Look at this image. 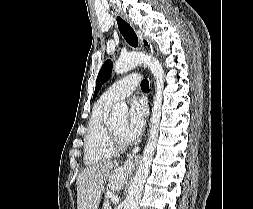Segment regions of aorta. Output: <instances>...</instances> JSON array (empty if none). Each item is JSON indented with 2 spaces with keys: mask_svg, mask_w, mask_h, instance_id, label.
Wrapping results in <instances>:
<instances>
[{
  "mask_svg": "<svg viewBox=\"0 0 253 209\" xmlns=\"http://www.w3.org/2000/svg\"><path fill=\"white\" fill-rule=\"evenodd\" d=\"M139 64H144L152 72L156 80V93L152 108L150 131L145 146L143 156L138 166L133 182L128 189V195L123 203V209H137L141 199L143 188L149 175L150 166L153 160L158 141L159 125L161 120L162 91L164 87V70L159 61L144 53L133 52L122 56L114 64V72L123 74L135 68ZM126 105H117L110 117V121L117 122L127 117Z\"/></svg>",
  "mask_w": 253,
  "mask_h": 209,
  "instance_id": "obj_1",
  "label": "aorta"
}]
</instances>
